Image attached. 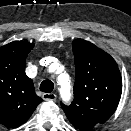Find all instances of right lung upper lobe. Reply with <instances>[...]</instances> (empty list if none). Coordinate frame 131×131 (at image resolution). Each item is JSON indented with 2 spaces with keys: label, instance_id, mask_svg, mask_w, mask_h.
I'll return each mask as SVG.
<instances>
[{
  "label": "right lung upper lobe",
  "instance_id": "1",
  "mask_svg": "<svg viewBox=\"0 0 131 131\" xmlns=\"http://www.w3.org/2000/svg\"><path fill=\"white\" fill-rule=\"evenodd\" d=\"M33 47L26 41L0 47V123L9 128L25 123L42 102L25 74L26 57Z\"/></svg>",
  "mask_w": 131,
  "mask_h": 131
}]
</instances>
